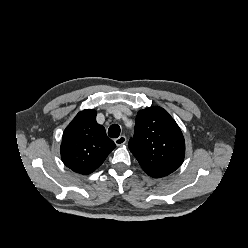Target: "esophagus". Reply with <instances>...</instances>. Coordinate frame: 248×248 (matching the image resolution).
<instances>
[{
	"label": "esophagus",
	"instance_id": "esophagus-1",
	"mask_svg": "<svg viewBox=\"0 0 248 248\" xmlns=\"http://www.w3.org/2000/svg\"><path fill=\"white\" fill-rule=\"evenodd\" d=\"M127 141V138L125 136H119L118 138L114 139V142L117 146H121L125 144Z\"/></svg>",
	"mask_w": 248,
	"mask_h": 248
}]
</instances>
